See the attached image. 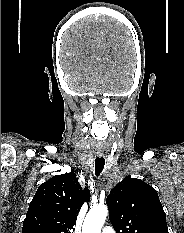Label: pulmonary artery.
Returning <instances> with one entry per match:
<instances>
[{
  "instance_id": "pulmonary-artery-1",
  "label": "pulmonary artery",
  "mask_w": 184,
  "mask_h": 233,
  "mask_svg": "<svg viewBox=\"0 0 184 233\" xmlns=\"http://www.w3.org/2000/svg\"><path fill=\"white\" fill-rule=\"evenodd\" d=\"M102 233H116L112 227L106 226L102 229Z\"/></svg>"
}]
</instances>
